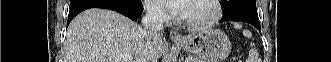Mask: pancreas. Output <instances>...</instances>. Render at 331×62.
I'll list each match as a JSON object with an SVG mask.
<instances>
[{
    "instance_id": "cf45deb5",
    "label": "pancreas",
    "mask_w": 331,
    "mask_h": 62,
    "mask_svg": "<svg viewBox=\"0 0 331 62\" xmlns=\"http://www.w3.org/2000/svg\"><path fill=\"white\" fill-rule=\"evenodd\" d=\"M194 62H202V60L200 58H194L193 60Z\"/></svg>"
}]
</instances>
